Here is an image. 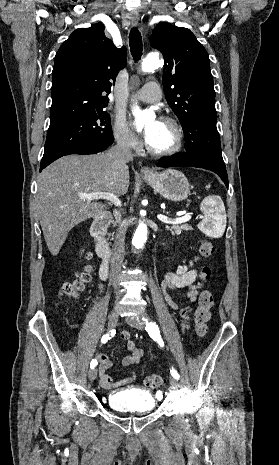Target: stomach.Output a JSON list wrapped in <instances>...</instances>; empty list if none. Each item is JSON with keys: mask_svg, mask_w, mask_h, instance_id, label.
Masks as SVG:
<instances>
[{"mask_svg": "<svg viewBox=\"0 0 279 465\" xmlns=\"http://www.w3.org/2000/svg\"><path fill=\"white\" fill-rule=\"evenodd\" d=\"M143 179L155 192L170 201H182L190 194L188 179L178 170L167 169L160 173L146 175Z\"/></svg>", "mask_w": 279, "mask_h": 465, "instance_id": "obj_1", "label": "stomach"}]
</instances>
